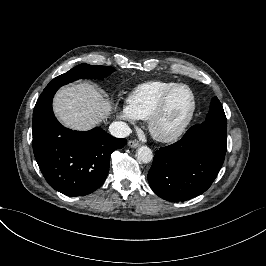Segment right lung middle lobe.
Wrapping results in <instances>:
<instances>
[{"label": "right lung middle lobe", "instance_id": "right-lung-middle-lobe-1", "mask_svg": "<svg viewBox=\"0 0 266 266\" xmlns=\"http://www.w3.org/2000/svg\"><path fill=\"white\" fill-rule=\"evenodd\" d=\"M115 69L110 66H93L82 63L68 72L54 78L45 89L52 88L54 86L61 87L62 85L73 82L77 79H86V78H97L102 79L111 73H113Z\"/></svg>", "mask_w": 266, "mask_h": 266}]
</instances>
